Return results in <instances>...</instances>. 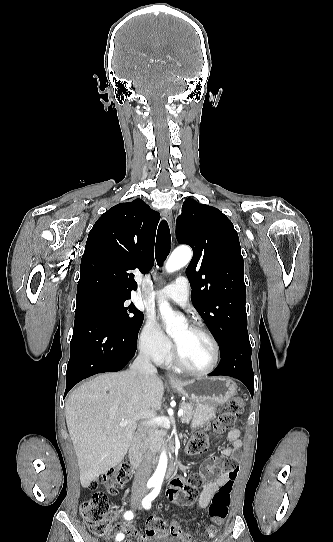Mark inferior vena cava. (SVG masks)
<instances>
[{
    "instance_id": "inferior-vena-cava-1",
    "label": "inferior vena cava",
    "mask_w": 333,
    "mask_h": 542,
    "mask_svg": "<svg viewBox=\"0 0 333 542\" xmlns=\"http://www.w3.org/2000/svg\"><path fill=\"white\" fill-rule=\"evenodd\" d=\"M130 370L131 372H138V374H140L142 386H145L151 376H156L157 374L155 366H152L149 356L144 354V352H140L132 366H130ZM144 432L147 434V428H145ZM151 468V458L149 452H146L138 470H136L133 482V492H137V490H143V492H145L146 484L151 476Z\"/></svg>"
}]
</instances>
